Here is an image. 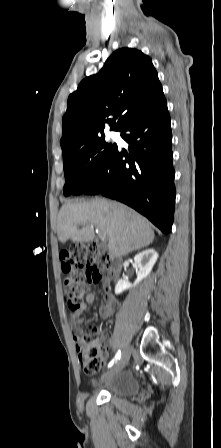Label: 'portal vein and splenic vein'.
<instances>
[{"label":"portal vein and splenic vein","mask_w":221,"mask_h":448,"mask_svg":"<svg viewBox=\"0 0 221 448\" xmlns=\"http://www.w3.org/2000/svg\"><path fill=\"white\" fill-rule=\"evenodd\" d=\"M101 239H102V240H104V237H103V236H101Z\"/></svg>","instance_id":"18ae733b"}]
</instances>
